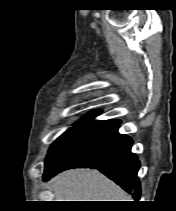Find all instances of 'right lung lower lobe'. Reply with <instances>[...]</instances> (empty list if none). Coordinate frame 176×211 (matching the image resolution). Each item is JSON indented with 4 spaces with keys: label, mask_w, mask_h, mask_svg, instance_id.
Wrapping results in <instances>:
<instances>
[{
    "label": "right lung lower lobe",
    "mask_w": 176,
    "mask_h": 211,
    "mask_svg": "<svg viewBox=\"0 0 176 211\" xmlns=\"http://www.w3.org/2000/svg\"><path fill=\"white\" fill-rule=\"evenodd\" d=\"M119 120L103 122L65 150L44 171V181L70 168H94L119 184L125 191L140 199L137 178L140 162L131 152L132 140L118 133Z\"/></svg>",
    "instance_id": "98d812e1"
}]
</instances>
